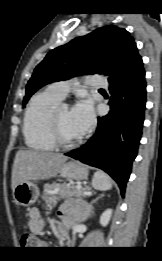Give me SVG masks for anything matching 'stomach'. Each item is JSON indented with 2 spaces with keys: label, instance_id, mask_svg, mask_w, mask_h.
<instances>
[{
  "label": "stomach",
  "instance_id": "1",
  "mask_svg": "<svg viewBox=\"0 0 162 261\" xmlns=\"http://www.w3.org/2000/svg\"><path fill=\"white\" fill-rule=\"evenodd\" d=\"M59 173L64 178L84 180L88 176V170L76 161L64 163ZM39 196V189L36 184L27 181L18 184L13 190L15 202L22 206H30L36 202Z\"/></svg>",
  "mask_w": 162,
  "mask_h": 261
}]
</instances>
